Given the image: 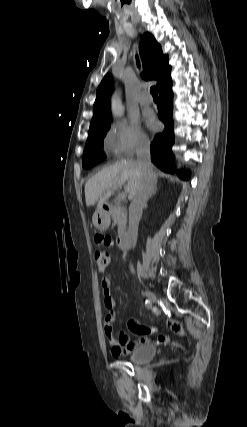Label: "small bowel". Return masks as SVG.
Returning <instances> with one entry per match:
<instances>
[{
	"label": "small bowel",
	"instance_id": "obj_1",
	"mask_svg": "<svg viewBox=\"0 0 247 427\" xmlns=\"http://www.w3.org/2000/svg\"><path fill=\"white\" fill-rule=\"evenodd\" d=\"M110 233L97 232L96 244L103 246L104 249L109 250L114 248L113 239ZM104 305L107 309L104 320V330L108 338V341L112 348V354L114 356H120L132 352L139 344L148 342L150 338L156 333V327L146 326L139 324L134 318L127 320V327L131 332L138 335V340L131 341L124 332H120L118 336H115L113 332V322L115 320V300L112 297L110 289V280L104 278L102 280ZM167 326L178 336H184L185 331L183 327L176 321L170 320L167 322ZM170 341L169 337L160 335L157 337V342L160 344H166Z\"/></svg>",
	"mask_w": 247,
	"mask_h": 427
}]
</instances>
